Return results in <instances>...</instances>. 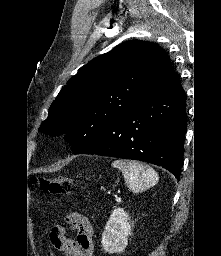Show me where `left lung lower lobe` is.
Masks as SVG:
<instances>
[{"label": "left lung lower lobe", "instance_id": "left-lung-lower-lobe-1", "mask_svg": "<svg viewBox=\"0 0 221 256\" xmlns=\"http://www.w3.org/2000/svg\"><path fill=\"white\" fill-rule=\"evenodd\" d=\"M186 120L185 92L176 74L134 109L100 128L74 154L145 161L166 168L179 180Z\"/></svg>", "mask_w": 221, "mask_h": 256}]
</instances>
